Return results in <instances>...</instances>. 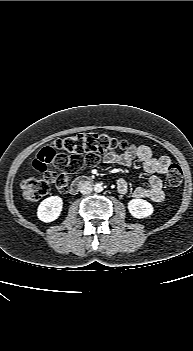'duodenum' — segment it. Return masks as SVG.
Masks as SVG:
<instances>
[{"label":"duodenum","mask_w":193,"mask_h":351,"mask_svg":"<svg viewBox=\"0 0 193 351\" xmlns=\"http://www.w3.org/2000/svg\"><path fill=\"white\" fill-rule=\"evenodd\" d=\"M91 179L86 176L77 177L71 184L69 188L70 194H75L81 187L88 185Z\"/></svg>","instance_id":"1"}]
</instances>
